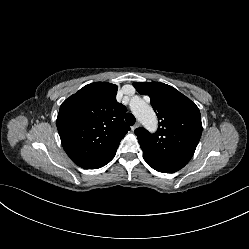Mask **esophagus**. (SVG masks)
Segmentation results:
<instances>
[{"label":"esophagus","instance_id":"esophagus-1","mask_svg":"<svg viewBox=\"0 0 249 249\" xmlns=\"http://www.w3.org/2000/svg\"><path fill=\"white\" fill-rule=\"evenodd\" d=\"M138 127H140V123L139 122H137L134 126H132V130L134 131Z\"/></svg>","mask_w":249,"mask_h":249}]
</instances>
